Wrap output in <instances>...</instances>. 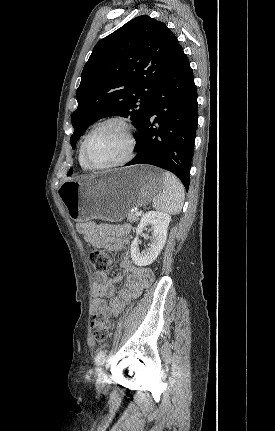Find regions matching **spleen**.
<instances>
[{"label": "spleen", "mask_w": 275, "mask_h": 431, "mask_svg": "<svg viewBox=\"0 0 275 431\" xmlns=\"http://www.w3.org/2000/svg\"><path fill=\"white\" fill-rule=\"evenodd\" d=\"M184 188L178 178L172 173H163V188L153 199V207L158 211L172 215L178 214L184 203Z\"/></svg>", "instance_id": "3e777b00"}]
</instances>
